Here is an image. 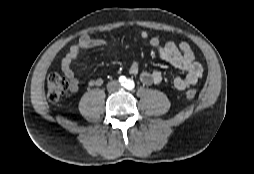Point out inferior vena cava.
<instances>
[{"mask_svg":"<svg viewBox=\"0 0 254 174\" xmlns=\"http://www.w3.org/2000/svg\"><path fill=\"white\" fill-rule=\"evenodd\" d=\"M109 91H114L119 88V84L116 81L110 82L107 86Z\"/></svg>","mask_w":254,"mask_h":174,"instance_id":"inferior-vena-cava-1","label":"inferior vena cava"}]
</instances>
